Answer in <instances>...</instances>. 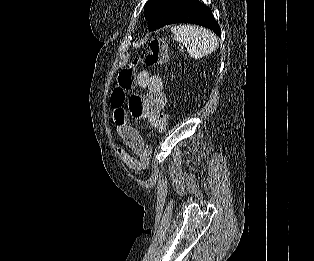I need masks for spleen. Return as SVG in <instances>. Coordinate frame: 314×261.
<instances>
[{
  "label": "spleen",
  "instance_id": "3e777b00",
  "mask_svg": "<svg viewBox=\"0 0 314 261\" xmlns=\"http://www.w3.org/2000/svg\"><path fill=\"white\" fill-rule=\"evenodd\" d=\"M175 39L182 43L195 59L214 52L218 46L216 36L209 30L195 25H179L171 28Z\"/></svg>",
  "mask_w": 314,
  "mask_h": 261
}]
</instances>
